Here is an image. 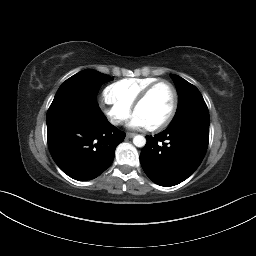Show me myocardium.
I'll return each mask as SVG.
<instances>
[{
	"instance_id": "f54148a6",
	"label": "myocardium",
	"mask_w": 256,
	"mask_h": 256,
	"mask_svg": "<svg viewBox=\"0 0 256 256\" xmlns=\"http://www.w3.org/2000/svg\"><path fill=\"white\" fill-rule=\"evenodd\" d=\"M161 84H166L168 85L173 93V102H172V106L171 109L169 111V113L167 114V116L160 121L159 123L152 125V126H147V130L149 131H156V130H160L164 127H166L173 119L176 111H177V107H178V102H179V95H178V91L176 89V87L174 86V84H172L170 81L168 80H158L154 83H152L151 85H149L148 87H146L142 93L138 96V98L135 100L133 106H132V112L135 113V111L137 110V108L139 106H141L146 99L149 97V95L151 94V92L158 87Z\"/></svg>"
}]
</instances>
